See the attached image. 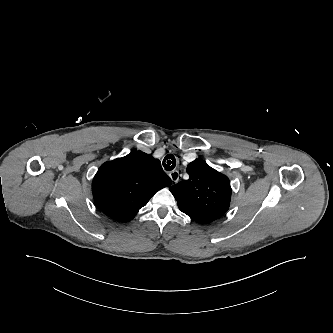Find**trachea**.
Returning a JSON list of instances; mask_svg holds the SVG:
<instances>
[{
    "instance_id": "1",
    "label": "trachea",
    "mask_w": 333,
    "mask_h": 333,
    "mask_svg": "<svg viewBox=\"0 0 333 333\" xmlns=\"http://www.w3.org/2000/svg\"><path fill=\"white\" fill-rule=\"evenodd\" d=\"M163 166L166 171H171L175 168L176 166V159L172 154H168L165 156L163 160Z\"/></svg>"
}]
</instances>
